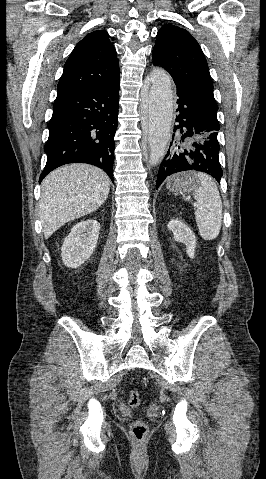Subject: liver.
<instances>
[{"instance_id": "obj_1", "label": "liver", "mask_w": 266, "mask_h": 479, "mask_svg": "<svg viewBox=\"0 0 266 479\" xmlns=\"http://www.w3.org/2000/svg\"><path fill=\"white\" fill-rule=\"evenodd\" d=\"M110 184L104 171L81 163L48 174L42 182L39 201L45 239L64 224L97 210L107 199Z\"/></svg>"}]
</instances>
